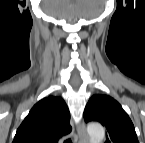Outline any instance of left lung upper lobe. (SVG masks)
<instances>
[{
    "instance_id": "1",
    "label": "left lung upper lobe",
    "mask_w": 145,
    "mask_h": 143,
    "mask_svg": "<svg viewBox=\"0 0 145 143\" xmlns=\"http://www.w3.org/2000/svg\"><path fill=\"white\" fill-rule=\"evenodd\" d=\"M86 122L98 121L106 128V143H139L135 128L122 106L107 95H94L84 110Z\"/></svg>"
}]
</instances>
